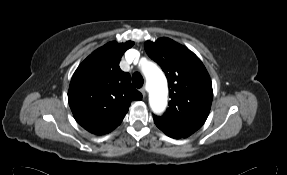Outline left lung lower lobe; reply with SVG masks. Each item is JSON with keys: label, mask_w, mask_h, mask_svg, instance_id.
<instances>
[{"label": "left lung lower lobe", "mask_w": 287, "mask_h": 175, "mask_svg": "<svg viewBox=\"0 0 287 175\" xmlns=\"http://www.w3.org/2000/svg\"><path fill=\"white\" fill-rule=\"evenodd\" d=\"M166 135H168V136H170V137H172V138H176V139H179V138H177V137H175V136H173V135H171V134H169V133H166V132H164Z\"/></svg>", "instance_id": "left-lung-lower-lobe-1"}]
</instances>
